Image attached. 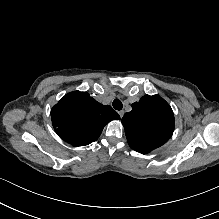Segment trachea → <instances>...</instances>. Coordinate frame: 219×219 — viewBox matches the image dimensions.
I'll use <instances>...</instances> for the list:
<instances>
[{
	"label": "trachea",
	"mask_w": 219,
	"mask_h": 219,
	"mask_svg": "<svg viewBox=\"0 0 219 219\" xmlns=\"http://www.w3.org/2000/svg\"><path fill=\"white\" fill-rule=\"evenodd\" d=\"M112 105H113V108L116 110H121L123 108V104L119 99H115Z\"/></svg>",
	"instance_id": "1"
}]
</instances>
